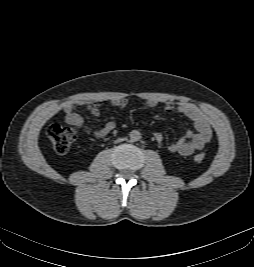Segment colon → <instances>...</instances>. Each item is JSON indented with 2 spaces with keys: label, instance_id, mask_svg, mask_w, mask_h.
Masks as SVG:
<instances>
[{
  "label": "colon",
  "instance_id": "1",
  "mask_svg": "<svg viewBox=\"0 0 254 267\" xmlns=\"http://www.w3.org/2000/svg\"><path fill=\"white\" fill-rule=\"evenodd\" d=\"M47 135L52 142L54 150L59 154H65L77 139L78 131L71 126L52 124L47 129ZM193 159L196 163H201L204 161L205 155L198 153Z\"/></svg>",
  "mask_w": 254,
  "mask_h": 267
}]
</instances>
